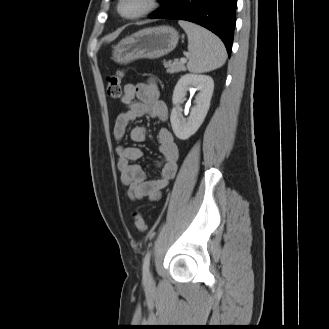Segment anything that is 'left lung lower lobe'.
Wrapping results in <instances>:
<instances>
[{
    "label": "left lung lower lobe",
    "instance_id": "left-lung-lower-lobe-1",
    "mask_svg": "<svg viewBox=\"0 0 329 329\" xmlns=\"http://www.w3.org/2000/svg\"><path fill=\"white\" fill-rule=\"evenodd\" d=\"M151 19H179L194 22L215 33L231 54L236 23L237 0H162Z\"/></svg>",
    "mask_w": 329,
    "mask_h": 329
}]
</instances>
